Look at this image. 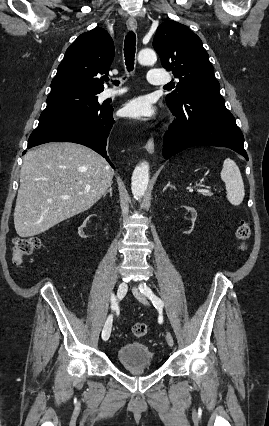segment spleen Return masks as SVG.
<instances>
[{"mask_svg":"<svg viewBox=\"0 0 269 426\" xmlns=\"http://www.w3.org/2000/svg\"><path fill=\"white\" fill-rule=\"evenodd\" d=\"M221 179L226 185L228 201L234 206L240 205L245 196L244 183L239 167L230 158L224 160Z\"/></svg>","mask_w":269,"mask_h":426,"instance_id":"3e777b00","label":"spleen"}]
</instances>
